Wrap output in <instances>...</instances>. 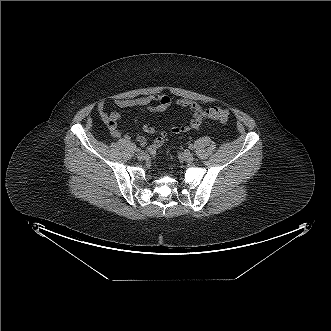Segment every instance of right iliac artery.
I'll use <instances>...</instances> for the list:
<instances>
[{"instance_id": "1", "label": "right iliac artery", "mask_w": 331, "mask_h": 331, "mask_svg": "<svg viewBox=\"0 0 331 331\" xmlns=\"http://www.w3.org/2000/svg\"><path fill=\"white\" fill-rule=\"evenodd\" d=\"M136 152L141 153V152H142V148H141V147H138V148L136 149Z\"/></svg>"}]
</instances>
